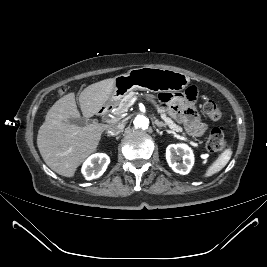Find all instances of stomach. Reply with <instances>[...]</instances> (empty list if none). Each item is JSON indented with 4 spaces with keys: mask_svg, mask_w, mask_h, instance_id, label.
<instances>
[{
    "mask_svg": "<svg viewBox=\"0 0 267 267\" xmlns=\"http://www.w3.org/2000/svg\"><path fill=\"white\" fill-rule=\"evenodd\" d=\"M189 82L190 78L182 72L156 67L134 68L115 78L109 102L115 103L133 90L181 91Z\"/></svg>",
    "mask_w": 267,
    "mask_h": 267,
    "instance_id": "0dacf381",
    "label": "stomach"
}]
</instances>
